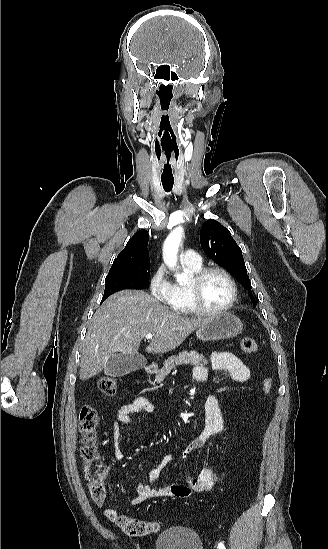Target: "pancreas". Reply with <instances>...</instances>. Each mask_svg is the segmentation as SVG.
<instances>
[{
	"label": "pancreas",
	"mask_w": 328,
	"mask_h": 549,
	"mask_svg": "<svg viewBox=\"0 0 328 549\" xmlns=\"http://www.w3.org/2000/svg\"><path fill=\"white\" fill-rule=\"evenodd\" d=\"M177 365H208L207 359L203 355H199L197 351H182L179 355H172L164 363V367L156 373L155 381L162 383L166 375L171 373L172 369H175Z\"/></svg>",
	"instance_id": "cf45deb5"
}]
</instances>
